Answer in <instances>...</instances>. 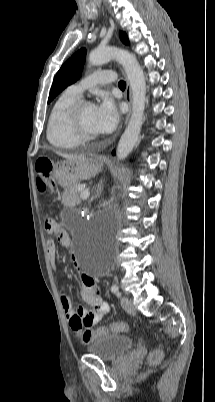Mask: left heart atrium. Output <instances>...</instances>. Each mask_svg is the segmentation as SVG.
<instances>
[{
	"mask_svg": "<svg viewBox=\"0 0 215 402\" xmlns=\"http://www.w3.org/2000/svg\"><path fill=\"white\" fill-rule=\"evenodd\" d=\"M119 121V113L114 102L107 96L95 106L94 128L97 133H109L113 131Z\"/></svg>",
	"mask_w": 215,
	"mask_h": 402,
	"instance_id": "1",
	"label": "left heart atrium"
}]
</instances>
